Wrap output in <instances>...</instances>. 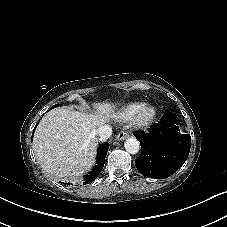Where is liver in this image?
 Instances as JSON below:
<instances>
[{
	"label": "liver",
	"mask_w": 227,
	"mask_h": 227,
	"mask_svg": "<svg viewBox=\"0 0 227 227\" xmlns=\"http://www.w3.org/2000/svg\"><path fill=\"white\" fill-rule=\"evenodd\" d=\"M94 114L61 107L46 113L33 139V150L40 166L59 179H77L95 163L96 128L108 122L115 105L97 103Z\"/></svg>",
	"instance_id": "obj_1"
}]
</instances>
